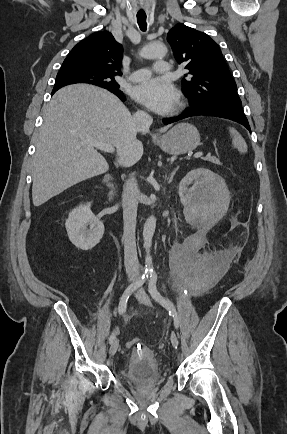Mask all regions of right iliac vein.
<instances>
[{
	"mask_svg": "<svg viewBox=\"0 0 287 434\" xmlns=\"http://www.w3.org/2000/svg\"><path fill=\"white\" fill-rule=\"evenodd\" d=\"M119 346V341L116 339L112 342L110 349H109V354L112 356L116 353L117 349Z\"/></svg>",
	"mask_w": 287,
	"mask_h": 434,
	"instance_id": "1",
	"label": "right iliac vein"
}]
</instances>
